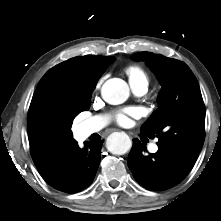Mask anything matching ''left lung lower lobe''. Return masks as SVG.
I'll return each mask as SVG.
<instances>
[{"label":"left lung lower lobe","mask_w":221,"mask_h":221,"mask_svg":"<svg viewBox=\"0 0 221 221\" xmlns=\"http://www.w3.org/2000/svg\"><path fill=\"white\" fill-rule=\"evenodd\" d=\"M145 146L138 139H133L128 166L136 181L152 191L167 190L189 173L187 169L170 153L158 149L156 153L144 155Z\"/></svg>","instance_id":"0a47b994"}]
</instances>
